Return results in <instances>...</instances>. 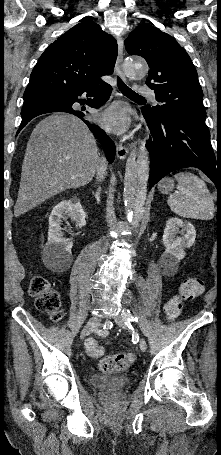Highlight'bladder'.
Here are the masks:
<instances>
[{
	"label": "bladder",
	"instance_id": "obj_1",
	"mask_svg": "<svg viewBox=\"0 0 221 455\" xmlns=\"http://www.w3.org/2000/svg\"><path fill=\"white\" fill-rule=\"evenodd\" d=\"M129 382L127 376H111L94 374L90 377V383L93 387L99 389L118 390L125 387Z\"/></svg>",
	"mask_w": 221,
	"mask_h": 455
}]
</instances>
